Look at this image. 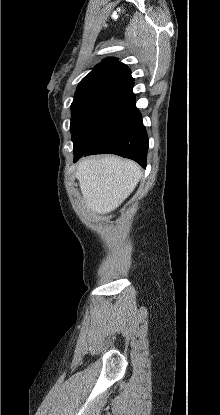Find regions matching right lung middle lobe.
<instances>
[{
	"label": "right lung middle lobe",
	"instance_id": "obj_1",
	"mask_svg": "<svg viewBox=\"0 0 220 415\" xmlns=\"http://www.w3.org/2000/svg\"><path fill=\"white\" fill-rule=\"evenodd\" d=\"M132 85L114 79L79 84L71 104L74 150L87 148L113 114L135 97Z\"/></svg>",
	"mask_w": 220,
	"mask_h": 415
}]
</instances>
